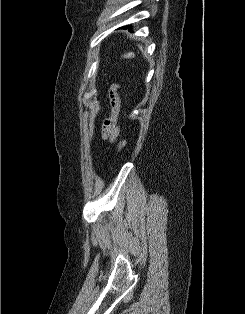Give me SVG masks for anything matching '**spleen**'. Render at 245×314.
Segmentation results:
<instances>
[{"label": "spleen", "mask_w": 245, "mask_h": 314, "mask_svg": "<svg viewBox=\"0 0 245 314\" xmlns=\"http://www.w3.org/2000/svg\"><path fill=\"white\" fill-rule=\"evenodd\" d=\"M138 48L141 50V52L145 55V51L143 50L142 45H138Z\"/></svg>", "instance_id": "spleen-1"}]
</instances>
